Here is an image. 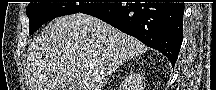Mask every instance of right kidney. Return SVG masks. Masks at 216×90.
Here are the masks:
<instances>
[{
	"instance_id": "obj_1",
	"label": "right kidney",
	"mask_w": 216,
	"mask_h": 90,
	"mask_svg": "<svg viewBox=\"0 0 216 90\" xmlns=\"http://www.w3.org/2000/svg\"><path fill=\"white\" fill-rule=\"evenodd\" d=\"M131 78H132V76H131ZM134 80H135V84H141V82H142V78H140V76H137V78H134Z\"/></svg>"
}]
</instances>
